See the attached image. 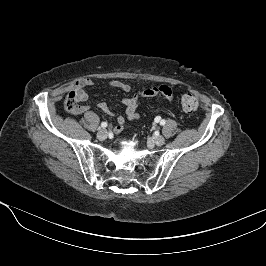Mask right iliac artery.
I'll use <instances>...</instances> for the list:
<instances>
[{
  "label": "right iliac artery",
  "mask_w": 266,
  "mask_h": 266,
  "mask_svg": "<svg viewBox=\"0 0 266 266\" xmlns=\"http://www.w3.org/2000/svg\"><path fill=\"white\" fill-rule=\"evenodd\" d=\"M101 127H102V128H106V127H107V123H106V122H102V123H101Z\"/></svg>",
  "instance_id": "right-iliac-artery-1"
}]
</instances>
